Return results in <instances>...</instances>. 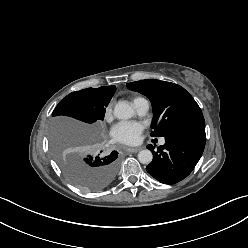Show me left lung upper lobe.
<instances>
[{"label": "left lung upper lobe", "instance_id": "obj_1", "mask_svg": "<svg viewBox=\"0 0 248 248\" xmlns=\"http://www.w3.org/2000/svg\"><path fill=\"white\" fill-rule=\"evenodd\" d=\"M127 87L144 94L151 101L153 137H166L183 124L203 118L202 111L193 97L177 84L147 79L127 83Z\"/></svg>", "mask_w": 248, "mask_h": 248}]
</instances>
